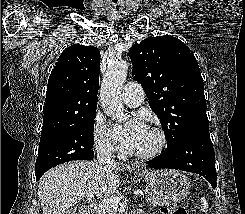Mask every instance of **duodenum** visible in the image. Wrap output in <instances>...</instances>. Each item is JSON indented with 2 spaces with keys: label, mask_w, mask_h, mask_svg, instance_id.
Instances as JSON below:
<instances>
[{
  "label": "duodenum",
  "mask_w": 245,
  "mask_h": 214,
  "mask_svg": "<svg viewBox=\"0 0 245 214\" xmlns=\"http://www.w3.org/2000/svg\"><path fill=\"white\" fill-rule=\"evenodd\" d=\"M97 211L95 206H87L81 209L80 214H95Z\"/></svg>",
  "instance_id": "410a0bca"
}]
</instances>
